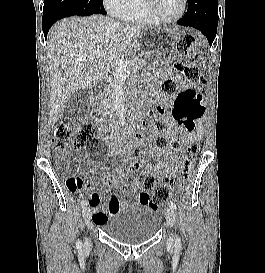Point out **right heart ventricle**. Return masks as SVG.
I'll use <instances>...</instances> for the list:
<instances>
[{
  "label": "right heart ventricle",
  "instance_id": "e07e8e85",
  "mask_svg": "<svg viewBox=\"0 0 265 273\" xmlns=\"http://www.w3.org/2000/svg\"><path fill=\"white\" fill-rule=\"evenodd\" d=\"M124 20L134 21L145 25H156L146 8L145 0H129L126 8L119 14Z\"/></svg>",
  "mask_w": 265,
  "mask_h": 273
}]
</instances>
